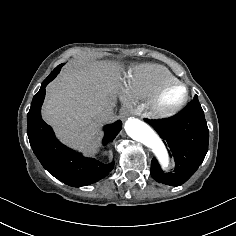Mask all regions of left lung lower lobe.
<instances>
[{"mask_svg": "<svg viewBox=\"0 0 236 236\" xmlns=\"http://www.w3.org/2000/svg\"><path fill=\"white\" fill-rule=\"evenodd\" d=\"M145 121L164 140L175 160L174 172L165 173L153 158L151 176L157 182L170 186L185 183L196 172L208 151L209 131L198 96L195 95L180 113L171 118Z\"/></svg>", "mask_w": 236, "mask_h": 236, "instance_id": "0a47b994", "label": "left lung lower lobe"}]
</instances>
